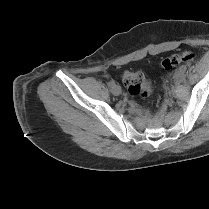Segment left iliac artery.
Listing matches in <instances>:
<instances>
[{
    "mask_svg": "<svg viewBox=\"0 0 209 209\" xmlns=\"http://www.w3.org/2000/svg\"><path fill=\"white\" fill-rule=\"evenodd\" d=\"M186 69H187L186 66L185 65H182L181 68H180V72H185Z\"/></svg>",
    "mask_w": 209,
    "mask_h": 209,
    "instance_id": "obj_1",
    "label": "left iliac artery"
}]
</instances>
